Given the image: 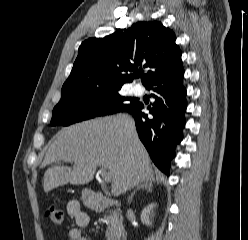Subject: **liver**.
I'll use <instances>...</instances> for the list:
<instances>
[{
	"label": "liver",
	"mask_w": 248,
	"mask_h": 240,
	"mask_svg": "<svg viewBox=\"0 0 248 240\" xmlns=\"http://www.w3.org/2000/svg\"><path fill=\"white\" fill-rule=\"evenodd\" d=\"M56 161L71 163L73 167L47 169L43 180L46 193L68 183H89L98 166L112 173L113 196L154 179L149 155L138 138L134 120L124 114L77 123L59 131L43 165Z\"/></svg>",
	"instance_id": "liver-1"
}]
</instances>
